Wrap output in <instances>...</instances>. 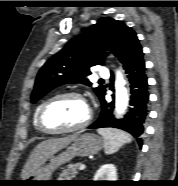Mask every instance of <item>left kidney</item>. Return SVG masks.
Wrapping results in <instances>:
<instances>
[{
	"label": "left kidney",
	"mask_w": 178,
	"mask_h": 186,
	"mask_svg": "<svg viewBox=\"0 0 178 186\" xmlns=\"http://www.w3.org/2000/svg\"><path fill=\"white\" fill-rule=\"evenodd\" d=\"M93 181H117V169L113 164L102 165L96 172Z\"/></svg>",
	"instance_id": "left-kidney-1"
}]
</instances>
